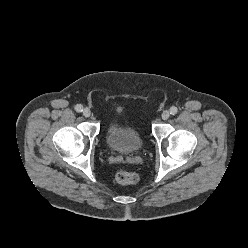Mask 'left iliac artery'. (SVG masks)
<instances>
[{
    "mask_svg": "<svg viewBox=\"0 0 248 248\" xmlns=\"http://www.w3.org/2000/svg\"><path fill=\"white\" fill-rule=\"evenodd\" d=\"M177 112H178L177 107L173 106L170 108V114L175 115V114H177Z\"/></svg>",
    "mask_w": 248,
    "mask_h": 248,
    "instance_id": "1",
    "label": "left iliac artery"
}]
</instances>
